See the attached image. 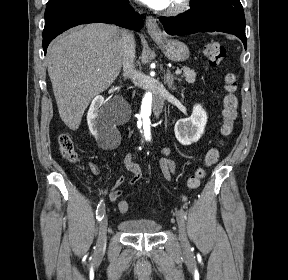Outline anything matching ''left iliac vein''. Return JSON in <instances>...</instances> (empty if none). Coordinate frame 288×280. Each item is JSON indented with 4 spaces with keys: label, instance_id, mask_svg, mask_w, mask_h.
Returning <instances> with one entry per match:
<instances>
[{
    "label": "left iliac vein",
    "instance_id": "obj_1",
    "mask_svg": "<svg viewBox=\"0 0 288 280\" xmlns=\"http://www.w3.org/2000/svg\"><path fill=\"white\" fill-rule=\"evenodd\" d=\"M177 225L179 230V239L182 246L187 249L189 247V242L186 236V224L184 220V215L179 214V210L176 213Z\"/></svg>",
    "mask_w": 288,
    "mask_h": 280
}]
</instances>
